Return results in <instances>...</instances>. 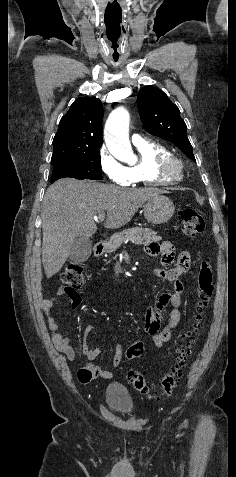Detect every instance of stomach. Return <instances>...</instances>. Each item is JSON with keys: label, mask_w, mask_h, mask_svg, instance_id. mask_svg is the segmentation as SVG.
<instances>
[{"label": "stomach", "mask_w": 236, "mask_h": 477, "mask_svg": "<svg viewBox=\"0 0 236 477\" xmlns=\"http://www.w3.org/2000/svg\"><path fill=\"white\" fill-rule=\"evenodd\" d=\"M145 218L152 224L166 223L173 216L175 207L166 196L159 194L143 206Z\"/></svg>", "instance_id": "stomach-1"}]
</instances>
